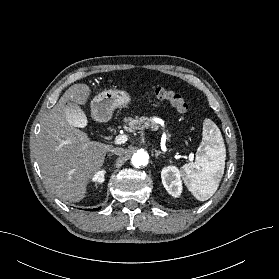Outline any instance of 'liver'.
<instances>
[{
	"mask_svg": "<svg viewBox=\"0 0 279 279\" xmlns=\"http://www.w3.org/2000/svg\"><path fill=\"white\" fill-rule=\"evenodd\" d=\"M90 94L86 84L70 86L44 119L36 140V158L44 184L64 201L79 202L85 197L90 180L112 148L90 141L67 118L65 106L84 105ZM84 117L86 122L85 114Z\"/></svg>",
	"mask_w": 279,
	"mask_h": 279,
	"instance_id": "1",
	"label": "liver"
}]
</instances>
